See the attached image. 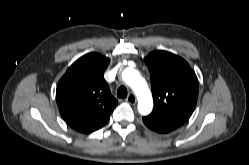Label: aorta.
<instances>
[{"instance_id": "obj_1", "label": "aorta", "mask_w": 249, "mask_h": 165, "mask_svg": "<svg viewBox=\"0 0 249 165\" xmlns=\"http://www.w3.org/2000/svg\"><path fill=\"white\" fill-rule=\"evenodd\" d=\"M122 78L137 96L139 113L142 115L150 114L153 109V99L146 81L136 70L131 68H127L123 72Z\"/></svg>"}]
</instances>
